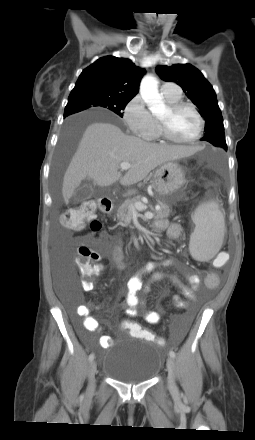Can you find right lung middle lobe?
<instances>
[{"mask_svg":"<svg viewBox=\"0 0 255 440\" xmlns=\"http://www.w3.org/2000/svg\"><path fill=\"white\" fill-rule=\"evenodd\" d=\"M130 100L131 98L110 95L104 92H71L65 107L64 116L80 112L90 107H103L123 117L122 110L125 109V106Z\"/></svg>","mask_w":255,"mask_h":440,"instance_id":"1","label":"right lung middle lobe"}]
</instances>
